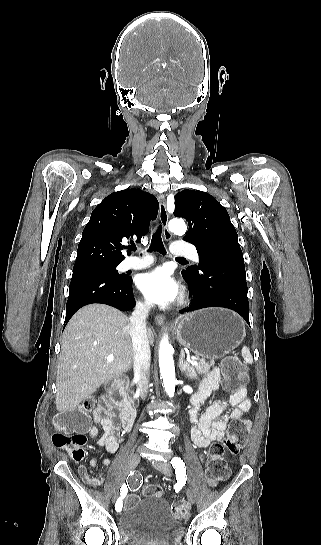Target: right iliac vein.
I'll use <instances>...</instances> for the list:
<instances>
[{"label": "right iliac vein", "mask_w": 321, "mask_h": 545, "mask_svg": "<svg viewBox=\"0 0 321 545\" xmlns=\"http://www.w3.org/2000/svg\"><path fill=\"white\" fill-rule=\"evenodd\" d=\"M140 462V455L138 453H134L130 456L129 458V461H128V465H127V470H132V469H135L137 467V465L139 464ZM123 480L120 482L118 488L114 491V494H113V497H112V502H115L119 496V488L120 486L123 484Z\"/></svg>", "instance_id": "63e3f726"}]
</instances>
